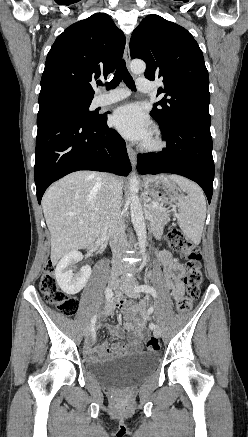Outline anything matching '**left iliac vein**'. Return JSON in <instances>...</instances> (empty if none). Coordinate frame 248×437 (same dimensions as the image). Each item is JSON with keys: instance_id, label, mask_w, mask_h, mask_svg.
<instances>
[{"instance_id": "4c4485c4", "label": "left iliac vein", "mask_w": 248, "mask_h": 437, "mask_svg": "<svg viewBox=\"0 0 248 437\" xmlns=\"http://www.w3.org/2000/svg\"><path fill=\"white\" fill-rule=\"evenodd\" d=\"M136 286L137 285H135V284L127 283V284H122L120 286V289L128 296H130L132 298H136L139 296V292L135 291ZM153 334L155 337H160L161 336V329L158 326H156V328L153 329Z\"/></svg>"}]
</instances>
